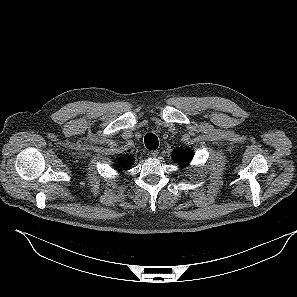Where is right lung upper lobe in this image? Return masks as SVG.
<instances>
[{"label": "right lung upper lobe", "instance_id": "obj_1", "mask_svg": "<svg viewBox=\"0 0 297 297\" xmlns=\"http://www.w3.org/2000/svg\"><path fill=\"white\" fill-rule=\"evenodd\" d=\"M120 166L123 168L130 167L133 164V157L127 156L122 160L119 159Z\"/></svg>", "mask_w": 297, "mask_h": 297}]
</instances>
